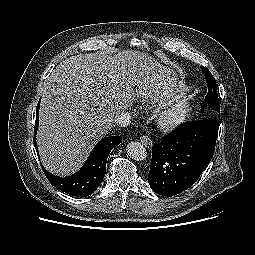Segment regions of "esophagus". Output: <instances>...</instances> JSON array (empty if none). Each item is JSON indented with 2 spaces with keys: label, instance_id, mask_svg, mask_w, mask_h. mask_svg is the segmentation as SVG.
Wrapping results in <instances>:
<instances>
[{
  "label": "esophagus",
  "instance_id": "34e87169",
  "mask_svg": "<svg viewBox=\"0 0 255 255\" xmlns=\"http://www.w3.org/2000/svg\"><path fill=\"white\" fill-rule=\"evenodd\" d=\"M140 141L143 143L144 146L147 148H151L153 145V141L146 135L140 137Z\"/></svg>",
  "mask_w": 255,
  "mask_h": 255
}]
</instances>
